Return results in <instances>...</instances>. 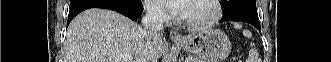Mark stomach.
<instances>
[{"label": "stomach", "instance_id": "0dacf381", "mask_svg": "<svg viewBox=\"0 0 331 62\" xmlns=\"http://www.w3.org/2000/svg\"><path fill=\"white\" fill-rule=\"evenodd\" d=\"M186 52L195 53L202 62H223L231 52L229 38L220 30H205L176 43Z\"/></svg>", "mask_w": 331, "mask_h": 62}]
</instances>
